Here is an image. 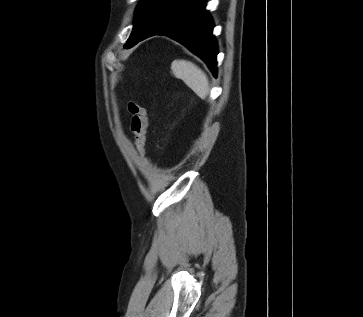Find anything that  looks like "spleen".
I'll return each mask as SVG.
<instances>
[{
  "label": "spleen",
  "instance_id": "3e777b00",
  "mask_svg": "<svg viewBox=\"0 0 363 317\" xmlns=\"http://www.w3.org/2000/svg\"><path fill=\"white\" fill-rule=\"evenodd\" d=\"M171 70L176 78L181 79L200 98L205 99L209 93L207 75L194 63L185 60H175Z\"/></svg>",
  "mask_w": 363,
  "mask_h": 317
}]
</instances>
